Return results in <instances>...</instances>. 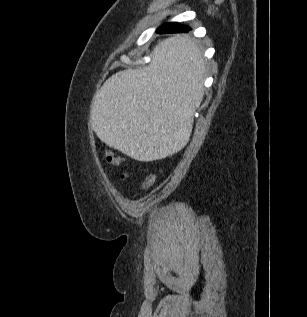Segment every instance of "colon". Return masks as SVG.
Instances as JSON below:
<instances>
[{"label": "colon", "instance_id": "colon-1", "mask_svg": "<svg viewBox=\"0 0 307 317\" xmlns=\"http://www.w3.org/2000/svg\"><path fill=\"white\" fill-rule=\"evenodd\" d=\"M103 158L105 160L106 163H108L109 165H113V166H119L124 162V159L121 156L115 155L113 152L106 150L104 152ZM127 173L124 172L121 175L122 179H126L127 178ZM156 182V175L154 173H149L145 179L143 180V182L140 185L141 189H149L151 188Z\"/></svg>", "mask_w": 307, "mask_h": 317}]
</instances>
